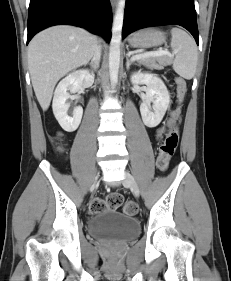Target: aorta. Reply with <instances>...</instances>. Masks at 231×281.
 <instances>
[{"mask_svg": "<svg viewBox=\"0 0 231 281\" xmlns=\"http://www.w3.org/2000/svg\"><path fill=\"white\" fill-rule=\"evenodd\" d=\"M124 9L125 0H118L112 26V37L109 49V75L111 84L113 86L116 85L118 81Z\"/></svg>", "mask_w": 231, "mask_h": 281, "instance_id": "1", "label": "aorta"}]
</instances>
